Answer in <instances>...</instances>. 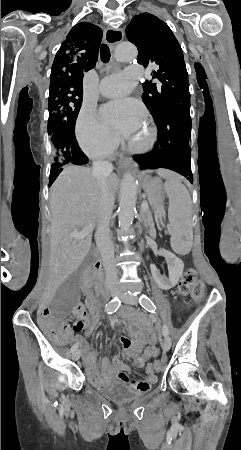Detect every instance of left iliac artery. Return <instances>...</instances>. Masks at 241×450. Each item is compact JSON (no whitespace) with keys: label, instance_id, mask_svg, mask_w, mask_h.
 I'll return each instance as SVG.
<instances>
[{"label":"left iliac artery","instance_id":"obj_1","mask_svg":"<svg viewBox=\"0 0 241 450\" xmlns=\"http://www.w3.org/2000/svg\"><path fill=\"white\" fill-rule=\"evenodd\" d=\"M139 303L140 305L146 309L147 311L151 312V313H155L156 311V305L153 303V301L146 296L145 294H142L139 298ZM162 332L164 337L168 336V328L166 325H163L162 327Z\"/></svg>","mask_w":241,"mask_h":450}]
</instances>
